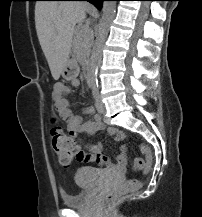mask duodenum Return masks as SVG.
<instances>
[{
    "label": "duodenum",
    "instance_id": "obj_1",
    "mask_svg": "<svg viewBox=\"0 0 202 217\" xmlns=\"http://www.w3.org/2000/svg\"><path fill=\"white\" fill-rule=\"evenodd\" d=\"M87 81L90 85L93 83L92 73L90 69L87 71Z\"/></svg>",
    "mask_w": 202,
    "mask_h": 217
}]
</instances>
